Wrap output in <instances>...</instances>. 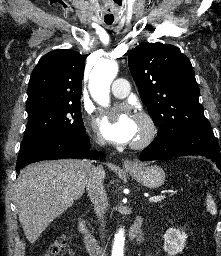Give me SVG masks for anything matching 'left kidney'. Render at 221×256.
<instances>
[{
  "instance_id": "5707ae66",
  "label": "left kidney",
  "mask_w": 221,
  "mask_h": 256,
  "mask_svg": "<svg viewBox=\"0 0 221 256\" xmlns=\"http://www.w3.org/2000/svg\"><path fill=\"white\" fill-rule=\"evenodd\" d=\"M186 239L187 235L184 231L173 227L169 228L164 234V251L170 256L181 253L184 249Z\"/></svg>"
}]
</instances>
